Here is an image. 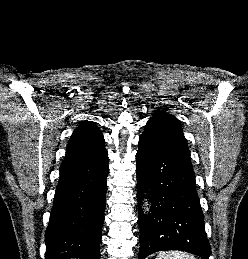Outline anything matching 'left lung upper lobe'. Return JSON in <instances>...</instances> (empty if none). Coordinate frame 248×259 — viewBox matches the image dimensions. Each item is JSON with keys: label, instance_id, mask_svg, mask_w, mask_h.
Instances as JSON below:
<instances>
[{"label": "left lung upper lobe", "instance_id": "obj_1", "mask_svg": "<svg viewBox=\"0 0 248 259\" xmlns=\"http://www.w3.org/2000/svg\"><path fill=\"white\" fill-rule=\"evenodd\" d=\"M140 140L162 149L192 167L190 151L178 120L164 111H156L147 122Z\"/></svg>", "mask_w": 248, "mask_h": 259}]
</instances>
